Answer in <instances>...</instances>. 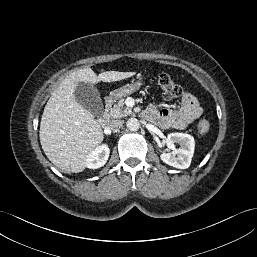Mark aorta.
Here are the masks:
<instances>
[{"instance_id": "obj_1", "label": "aorta", "mask_w": 257, "mask_h": 257, "mask_svg": "<svg viewBox=\"0 0 257 257\" xmlns=\"http://www.w3.org/2000/svg\"><path fill=\"white\" fill-rule=\"evenodd\" d=\"M127 128L131 131H137L140 128V123L136 118H130L127 121Z\"/></svg>"}]
</instances>
